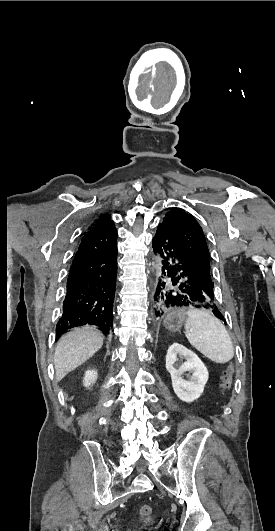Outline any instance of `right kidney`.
Segmentation results:
<instances>
[{
    "mask_svg": "<svg viewBox=\"0 0 275 531\" xmlns=\"http://www.w3.org/2000/svg\"><path fill=\"white\" fill-rule=\"evenodd\" d=\"M95 381H97L96 371H86L83 381L84 387H90V385H93Z\"/></svg>",
    "mask_w": 275,
    "mask_h": 531,
    "instance_id": "right-kidney-1",
    "label": "right kidney"
}]
</instances>
